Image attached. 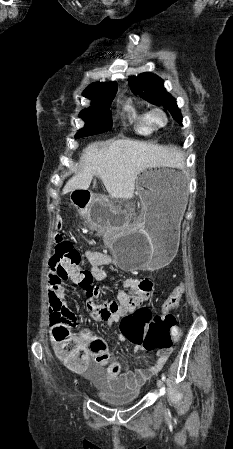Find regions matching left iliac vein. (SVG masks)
<instances>
[{
  "label": "left iliac vein",
  "instance_id": "1",
  "mask_svg": "<svg viewBox=\"0 0 233 449\" xmlns=\"http://www.w3.org/2000/svg\"><path fill=\"white\" fill-rule=\"evenodd\" d=\"M157 386H158V388H161V386H162V380H161V379H159V380L157 381Z\"/></svg>",
  "mask_w": 233,
  "mask_h": 449
}]
</instances>
